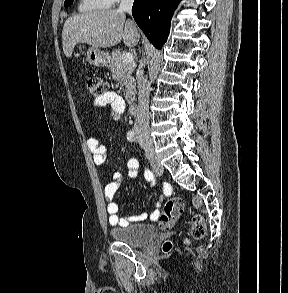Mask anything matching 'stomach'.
<instances>
[{
    "label": "stomach",
    "mask_w": 288,
    "mask_h": 293,
    "mask_svg": "<svg viewBox=\"0 0 288 293\" xmlns=\"http://www.w3.org/2000/svg\"><path fill=\"white\" fill-rule=\"evenodd\" d=\"M84 43L78 44V49L82 51L84 49ZM87 61L95 66L107 67L110 63V56L107 52H104L98 48L90 47L86 54Z\"/></svg>",
    "instance_id": "obj_1"
}]
</instances>
